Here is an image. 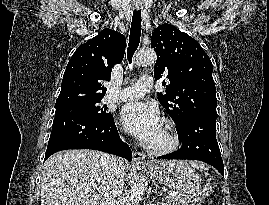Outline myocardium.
I'll list each match as a JSON object with an SVG mask.
<instances>
[{
  "label": "myocardium",
  "instance_id": "f54148a6",
  "mask_svg": "<svg viewBox=\"0 0 269 205\" xmlns=\"http://www.w3.org/2000/svg\"><path fill=\"white\" fill-rule=\"evenodd\" d=\"M163 126L165 128L167 142L161 146L148 145L147 150L154 155H166L175 151L180 145V138L175 130L174 124L171 120H164Z\"/></svg>",
  "mask_w": 269,
  "mask_h": 205
}]
</instances>
